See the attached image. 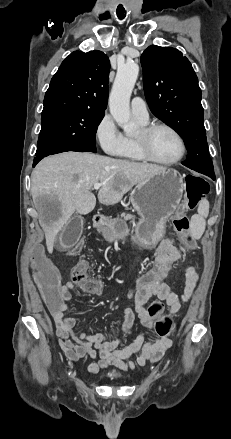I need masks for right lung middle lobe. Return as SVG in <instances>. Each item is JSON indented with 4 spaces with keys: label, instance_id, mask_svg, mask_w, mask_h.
<instances>
[{
    "label": "right lung middle lobe",
    "instance_id": "1",
    "mask_svg": "<svg viewBox=\"0 0 231 439\" xmlns=\"http://www.w3.org/2000/svg\"><path fill=\"white\" fill-rule=\"evenodd\" d=\"M103 112L67 111L42 117L36 156L66 151L97 152L96 131Z\"/></svg>",
    "mask_w": 231,
    "mask_h": 439
}]
</instances>
